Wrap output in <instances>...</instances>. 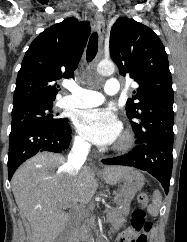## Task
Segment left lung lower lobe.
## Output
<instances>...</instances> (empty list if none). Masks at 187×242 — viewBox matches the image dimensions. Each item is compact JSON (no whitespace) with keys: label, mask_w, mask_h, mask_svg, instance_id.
<instances>
[{"label":"left lung lower lobe","mask_w":187,"mask_h":242,"mask_svg":"<svg viewBox=\"0 0 187 242\" xmlns=\"http://www.w3.org/2000/svg\"><path fill=\"white\" fill-rule=\"evenodd\" d=\"M173 138L156 139L144 144H138L127 154L102 162L108 165L132 166L149 172L157 178L165 193H168L173 167Z\"/></svg>","instance_id":"1"}]
</instances>
